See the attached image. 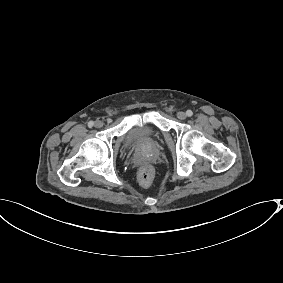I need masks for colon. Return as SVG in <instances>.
Returning <instances> with one entry per match:
<instances>
[{"mask_svg":"<svg viewBox=\"0 0 283 283\" xmlns=\"http://www.w3.org/2000/svg\"><path fill=\"white\" fill-rule=\"evenodd\" d=\"M154 178V170L151 166L146 165L141 167L138 173V181L141 186L149 187Z\"/></svg>","mask_w":283,"mask_h":283,"instance_id":"colon-1","label":"colon"}]
</instances>
